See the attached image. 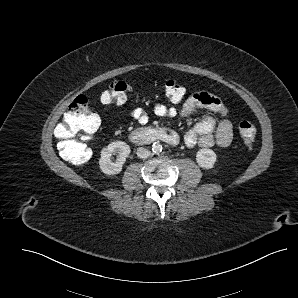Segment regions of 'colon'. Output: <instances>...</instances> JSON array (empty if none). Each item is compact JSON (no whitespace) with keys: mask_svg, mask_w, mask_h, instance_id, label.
Returning <instances> with one entry per match:
<instances>
[{"mask_svg":"<svg viewBox=\"0 0 298 298\" xmlns=\"http://www.w3.org/2000/svg\"><path fill=\"white\" fill-rule=\"evenodd\" d=\"M130 82L118 80L112 82L101 94V101L106 104H122L127 100L130 90ZM185 88L176 80H167L164 84L166 98L173 102H180L185 96ZM100 120L88 105L85 96H77L68 106L63 119L55 128V135L59 139L60 149L65 154L80 153L81 158L77 162H86L90 159L89 149L82 145L79 140L92 138L99 128ZM239 133L242 142L246 146H252L256 138L255 126L249 121H242L239 124Z\"/></svg>","mask_w":298,"mask_h":298,"instance_id":"1","label":"colon"}]
</instances>
